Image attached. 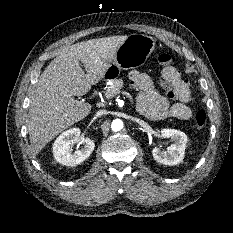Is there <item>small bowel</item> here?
<instances>
[{"label": "small bowel", "instance_id": "1", "mask_svg": "<svg viewBox=\"0 0 233 233\" xmlns=\"http://www.w3.org/2000/svg\"><path fill=\"white\" fill-rule=\"evenodd\" d=\"M129 80L131 85L139 91L136 99L137 108L147 118L152 120L166 118L189 120L192 117V111L188 106L191 91L188 83L182 78L175 85L178 99L174 104H171L165 96L160 94L146 73L133 70L129 73Z\"/></svg>", "mask_w": 233, "mask_h": 233}]
</instances>
